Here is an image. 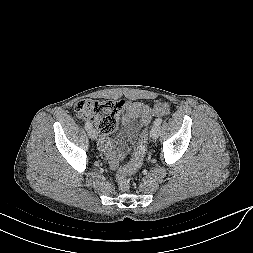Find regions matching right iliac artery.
Masks as SVG:
<instances>
[{
    "label": "right iliac artery",
    "instance_id": "obj_1",
    "mask_svg": "<svg viewBox=\"0 0 253 253\" xmlns=\"http://www.w3.org/2000/svg\"><path fill=\"white\" fill-rule=\"evenodd\" d=\"M85 127L88 128V129H90V128H92V124L90 122H86L85 123Z\"/></svg>",
    "mask_w": 253,
    "mask_h": 253
}]
</instances>
